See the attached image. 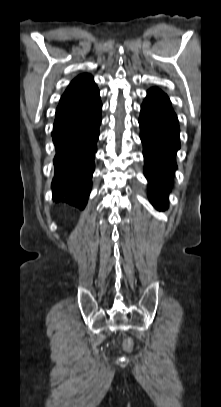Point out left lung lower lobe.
I'll list each match as a JSON object with an SVG mask.
<instances>
[{
    "label": "left lung lower lobe",
    "mask_w": 221,
    "mask_h": 407,
    "mask_svg": "<svg viewBox=\"0 0 221 407\" xmlns=\"http://www.w3.org/2000/svg\"><path fill=\"white\" fill-rule=\"evenodd\" d=\"M139 125L149 199L156 209L162 210L168 207V192L177 169L175 155L180 148V130L171 102L161 90L148 91L141 106Z\"/></svg>",
    "instance_id": "obj_1"
}]
</instances>
